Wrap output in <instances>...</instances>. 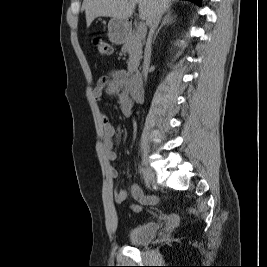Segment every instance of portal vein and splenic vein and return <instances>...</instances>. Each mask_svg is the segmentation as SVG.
<instances>
[{
    "label": "portal vein and splenic vein",
    "mask_w": 267,
    "mask_h": 267,
    "mask_svg": "<svg viewBox=\"0 0 267 267\" xmlns=\"http://www.w3.org/2000/svg\"><path fill=\"white\" fill-rule=\"evenodd\" d=\"M146 35V26L145 23L140 22L137 28V36L141 39L145 38Z\"/></svg>",
    "instance_id": "18ae733b"
}]
</instances>
